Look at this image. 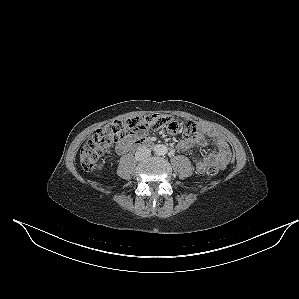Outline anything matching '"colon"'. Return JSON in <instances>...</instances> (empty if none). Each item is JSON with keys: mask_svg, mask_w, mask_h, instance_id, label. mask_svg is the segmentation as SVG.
<instances>
[{"mask_svg": "<svg viewBox=\"0 0 299 299\" xmlns=\"http://www.w3.org/2000/svg\"><path fill=\"white\" fill-rule=\"evenodd\" d=\"M167 128L172 133L180 131V123L170 115L150 114L144 117L113 121L104 125L85 143L80 150V162L84 169H93L102 155L115 143L123 141L132 135L144 133L148 129ZM185 137L193 138L197 134L194 123H187L184 130ZM208 175H215L219 167L209 166Z\"/></svg>", "mask_w": 299, "mask_h": 299, "instance_id": "1", "label": "colon"}]
</instances>
